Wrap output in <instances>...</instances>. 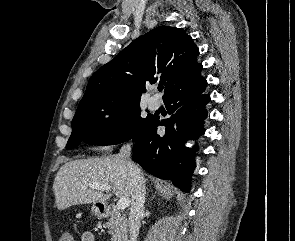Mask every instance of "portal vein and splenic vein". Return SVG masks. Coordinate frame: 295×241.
<instances>
[{"label": "portal vein and splenic vein", "instance_id": "18ae733b", "mask_svg": "<svg viewBox=\"0 0 295 241\" xmlns=\"http://www.w3.org/2000/svg\"><path fill=\"white\" fill-rule=\"evenodd\" d=\"M88 186H83L82 188H87ZM89 187L91 188H95L101 191H106L109 192L111 191L112 187L110 185H105V184H93V185H89ZM130 204V199L129 197H121L119 199V201L117 202L116 208L118 210H123L125 208H127Z\"/></svg>", "mask_w": 295, "mask_h": 241}]
</instances>
